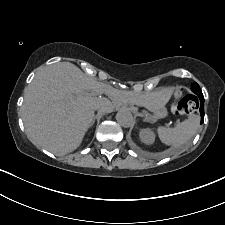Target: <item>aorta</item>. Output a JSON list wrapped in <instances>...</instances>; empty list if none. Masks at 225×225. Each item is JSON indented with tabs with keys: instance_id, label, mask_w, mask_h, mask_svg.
Returning <instances> with one entry per match:
<instances>
[{
	"instance_id": "1",
	"label": "aorta",
	"mask_w": 225,
	"mask_h": 225,
	"mask_svg": "<svg viewBox=\"0 0 225 225\" xmlns=\"http://www.w3.org/2000/svg\"><path fill=\"white\" fill-rule=\"evenodd\" d=\"M116 120L124 128H130L134 125V118L128 110H120L116 114Z\"/></svg>"
}]
</instances>
